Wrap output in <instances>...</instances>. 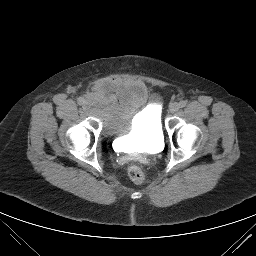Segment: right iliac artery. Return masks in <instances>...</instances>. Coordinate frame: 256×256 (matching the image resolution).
I'll return each instance as SVG.
<instances>
[{"label":"right iliac artery","mask_w":256,"mask_h":256,"mask_svg":"<svg viewBox=\"0 0 256 256\" xmlns=\"http://www.w3.org/2000/svg\"><path fill=\"white\" fill-rule=\"evenodd\" d=\"M84 102H85L84 98H82V97H79V98H78V104H79V105H83Z\"/></svg>","instance_id":"obj_1"}]
</instances>
